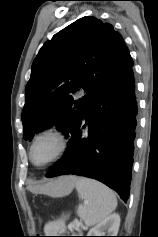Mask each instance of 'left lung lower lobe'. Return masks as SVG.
I'll use <instances>...</instances> for the list:
<instances>
[{
	"mask_svg": "<svg viewBox=\"0 0 158 237\" xmlns=\"http://www.w3.org/2000/svg\"><path fill=\"white\" fill-rule=\"evenodd\" d=\"M137 112L131 67L89 102L70 133L63 158L46 177L75 174L94 178L114 189L127 202Z\"/></svg>",
	"mask_w": 158,
	"mask_h": 237,
	"instance_id": "0a47b994",
	"label": "left lung lower lobe"
}]
</instances>
